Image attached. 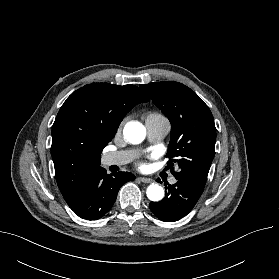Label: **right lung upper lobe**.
Returning <instances> with one entry per match:
<instances>
[{
    "label": "right lung upper lobe",
    "instance_id": "cb5924a9",
    "mask_svg": "<svg viewBox=\"0 0 279 279\" xmlns=\"http://www.w3.org/2000/svg\"><path fill=\"white\" fill-rule=\"evenodd\" d=\"M148 97L134 85L92 83L72 93L52 127V158L58 187L71 203L88 176L100 167V154L124 116Z\"/></svg>",
    "mask_w": 279,
    "mask_h": 279
}]
</instances>
